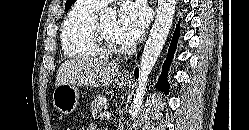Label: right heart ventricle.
<instances>
[{
    "label": "right heart ventricle",
    "instance_id": "1",
    "mask_svg": "<svg viewBox=\"0 0 249 130\" xmlns=\"http://www.w3.org/2000/svg\"><path fill=\"white\" fill-rule=\"evenodd\" d=\"M102 6L92 0H77L66 15L60 34L67 57H99L101 51L93 39V22Z\"/></svg>",
    "mask_w": 249,
    "mask_h": 130
}]
</instances>
